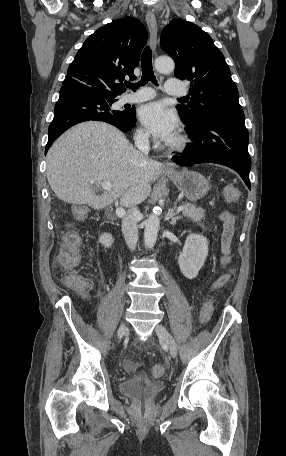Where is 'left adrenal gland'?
Returning <instances> with one entry per match:
<instances>
[{
    "mask_svg": "<svg viewBox=\"0 0 286 456\" xmlns=\"http://www.w3.org/2000/svg\"><path fill=\"white\" fill-rule=\"evenodd\" d=\"M182 216L180 215H175L174 209H169L168 214H167V219L170 220L171 225H175L178 220H180Z\"/></svg>",
    "mask_w": 286,
    "mask_h": 456,
    "instance_id": "left-adrenal-gland-1",
    "label": "left adrenal gland"
}]
</instances>
